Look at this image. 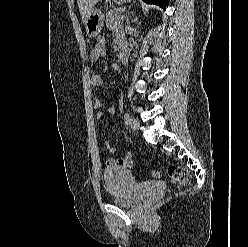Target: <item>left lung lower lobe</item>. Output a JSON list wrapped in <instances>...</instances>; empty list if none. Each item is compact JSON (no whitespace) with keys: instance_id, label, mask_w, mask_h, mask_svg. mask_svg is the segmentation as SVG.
Instances as JSON below:
<instances>
[{"instance_id":"1","label":"left lung lower lobe","mask_w":248,"mask_h":247,"mask_svg":"<svg viewBox=\"0 0 248 247\" xmlns=\"http://www.w3.org/2000/svg\"><path fill=\"white\" fill-rule=\"evenodd\" d=\"M143 1L146 2L147 4H156L161 8H163L164 10L166 9V7H168L169 4V0H143Z\"/></svg>"}]
</instances>
